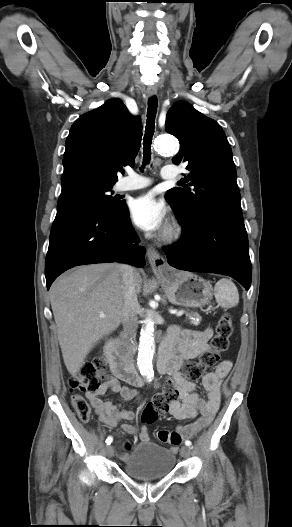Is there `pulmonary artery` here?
<instances>
[{"label":"pulmonary artery","instance_id":"1","mask_svg":"<svg viewBox=\"0 0 292 527\" xmlns=\"http://www.w3.org/2000/svg\"><path fill=\"white\" fill-rule=\"evenodd\" d=\"M161 177L163 179L171 180L176 177V169L174 166L166 165L161 170ZM152 181L144 176L136 174L133 171L128 173V176L123 178L118 184L119 191H130L145 188L149 186Z\"/></svg>","mask_w":292,"mask_h":527}]
</instances>
